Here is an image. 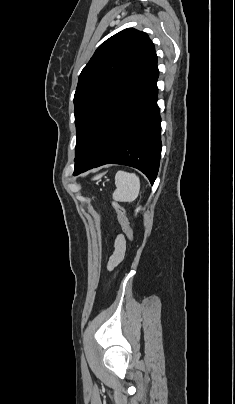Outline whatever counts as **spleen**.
<instances>
[{
	"instance_id": "3e777b00",
	"label": "spleen",
	"mask_w": 235,
	"mask_h": 404,
	"mask_svg": "<svg viewBox=\"0 0 235 404\" xmlns=\"http://www.w3.org/2000/svg\"><path fill=\"white\" fill-rule=\"evenodd\" d=\"M116 190L113 192V199L118 202L134 201L140 191L139 177L134 173L118 171L115 176Z\"/></svg>"
}]
</instances>
